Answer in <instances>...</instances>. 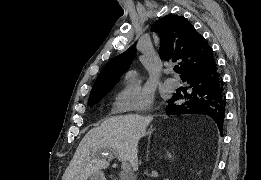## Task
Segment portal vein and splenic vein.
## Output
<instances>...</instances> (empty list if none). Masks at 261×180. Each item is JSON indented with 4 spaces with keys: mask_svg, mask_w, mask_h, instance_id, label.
Returning <instances> with one entry per match:
<instances>
[{
    "mask_svg": "<svg viewBox=\"0 0 261 180\" xmlns=\"http://www.w3.org/2000/svg\"><path fill=\"white\" fill-rule=\"evenodd\" d=\"M113 152H116V150H113ZM122 168L123 170H129V164H127V162H123Z\"/></svg>",
    "mask_w": 261,
    "mask_h": 180,
    "instance_id": "portal-vein-and-splenic-vein-1",
    "label": "portal vein and splenic vein"
}]
</instances>
